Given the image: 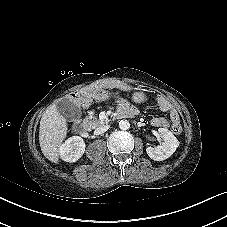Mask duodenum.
Listing matches in <instances>:
<instances>
[{
    "mask_svg": "<svg viewBox=\"0 0 227 227\" xmlns=\"http://www.w3.org/2000/svg\"><path fill=\"white\" fill-rule=\"evenodd\" d=\"M132 115H133L132 113H125V112L119 111L117 113L116 117H117V119H121V118H124V117H130ZM76 130L81 136H86L87 135V124H86V122L79 121L76 124Z\"/></svg>",
    "mask_w": 227,
    "mask_h": 227,
    "instance_id": "1",
    "label": "duodenum"
}]
</instances>
